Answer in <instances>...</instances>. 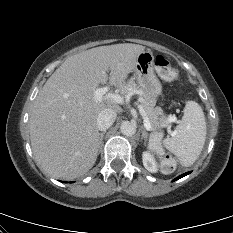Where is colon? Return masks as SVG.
Returning <instances> with one entry per match:
<instances>
[{
    "label": "colon",
    "mask_w": 233,
    "mask_h": 233,
    "mask_svg": "<svg viewBox=\"0 0 233 233\" xmlns=\"http://www.w3.org/2000/svg\"><path fill=\"white\" fill-rule=\"evenodd\" d=\"M154 65L158 75L167 82H173L178 78V70L163 56L157 55L154 58ZM163 135L161 132H155L149 139V150L158 158V164L161 172L165 174L173 173L177 168L176 159L166 154L163 144Z\"/></svg>",
    "instance_id": "5ec220e1"
}]
</instances>
